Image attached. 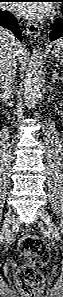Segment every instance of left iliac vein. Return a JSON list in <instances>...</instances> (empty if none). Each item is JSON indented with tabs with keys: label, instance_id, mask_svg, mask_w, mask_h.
<instances>
[{
	"label": "left iliac vein",
	"instance_id": "obj_1",
	"mask_svg": "<svg viewBox=\"0 0 63 297\" xmlns=\"http://www.w3.org/2000/svg\"><path fill=\"white\" fill-rule=\"evenodd\" d=\"M38 216L46 224L50 234L53 237L57 238L58 237V229H57L55 223L53 222L50 214L44 208H40L38 210Z\"/></svg>",
	"mask_w": 63,
	"mask_h": 297
}]
</instances>
